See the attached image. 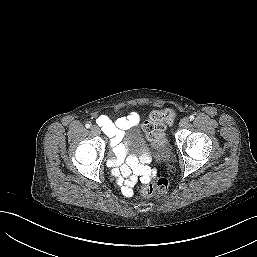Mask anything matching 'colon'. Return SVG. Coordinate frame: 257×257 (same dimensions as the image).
I'll return each instance as SVG.
<instances>
[{
  "label": "colon",
  "mask_w": 257,
  "mask_h": 257,
  "mask_svg": "<svg viewBox=\"0 0 257 257\" xmlns=\"http://www.w3.org/2000/svg\"><path fill=\"white\" fill-rule=\"evenodd\" d=\"M175 117V111L172 108H165L153 111L149 119L144 123L143 129L148 137L156 143L164 137V130L171 124ZM169 188V182L165 178H158L153 181H147L140 188V195L144 198L156 194H164Z\"/></svg>",
  "instance_id": "5ec220e1"
}]
</instances>
